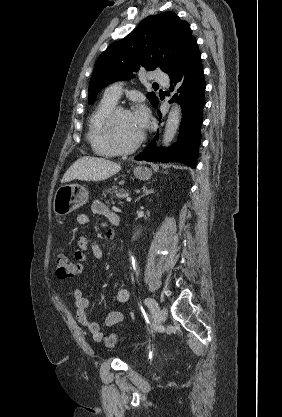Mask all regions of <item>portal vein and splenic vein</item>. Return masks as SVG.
I'll return each instance as SVG.
<instances>
[{"label":"portal vein and splenic vein","mask_w":282,"mask_h":417,"mask_svg":"<svg viewBox=\"0 0 282 417\" xmlns=\"http://www.w3.org/2000/svg\"><path fill=\"white\" fill-rule=\"evenodd\" d=\"M131 200L130 196H124L123 202L124 203H129Z\"/></svg>","instance_id":"obj_1"}]
</instances>
